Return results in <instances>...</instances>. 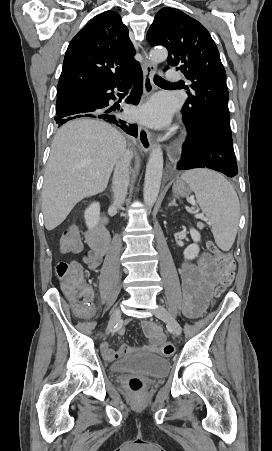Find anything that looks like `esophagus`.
Here are the masks:
<instances>
[{
	"label": "esophagus",
	"mask_w": 272,
	"mask_h": 451,
	"mask_svg": "<svg viewBox=\"0 0 272 451\" xmlns=\"http://www.w3.org/2000/svg\"><path fill=\"white\" fill-rule=\"evenodd\" d=\"M156 70V65L149 62L148 60H146L142 65L143 94L141 102H144L145 99L155 90L153 77L156 73ZM138 141L143 152L148 153L152 149V134L142 125L138 126Z\"/></svg>",
	"instance_id": "34e87169"
}]
</instances>
